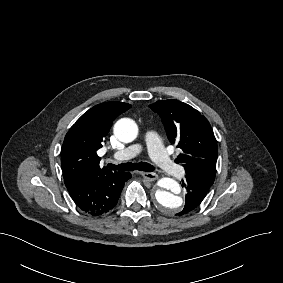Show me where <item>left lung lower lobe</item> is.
I'll use <instances>...</instances> for the list:
<instances>
[{
	"label": "left lung lower lobe",
	"instance_id": "left-lung-lower-lobe-1",
	"mask_svg": "<svg viewBox=\"0 0 283 283\" xmlns=\"http://www.w3.org/2000/svg\"><path fill=\"white\" fill-rule=\"evenodd\" d=\"M214 179L202 174H186L185 181L182 180V186L187 189L186 201L183 210L176 214L179 216L189 214L197 209L206 196Z\"/></svg>",
	"mask_w": 283,
	"mask_h": 283
}]
</instances>
